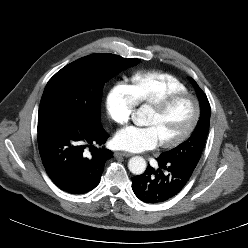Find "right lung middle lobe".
<instances>
[{"label":"right lung middle lobe","instance_id":"dd1d6c3e","mask_svg":"<svg viewBox=\"0 0 248 248\" xmlns=\"http://www.w3.org/2000/svg\"><path fill=\"white\" fill-rule=\"evenodd\" d=\"M139 59L114 54H92L58 71L47 83L39 106L38 124L59 121L80 128L100 126L105 83Z\"/></svg>","mask_w":248,"mask_h":248}]
</instances>
